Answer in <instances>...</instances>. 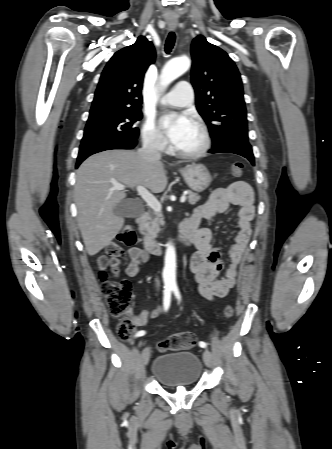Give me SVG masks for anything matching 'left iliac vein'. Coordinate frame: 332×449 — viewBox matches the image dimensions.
<instances>
[{"instance_id": "obj_1", "label": "left iliac vein", "mask_w": 332, "mask_h": 449, "mask_svg": "<svg viewBox=\"0 0 332 449\" xmlns=\"http://www.w3.org/2000/svg\"><path fill=\"white\" fill-rule=\"evenodd\" d=\"M203 359L208 367H212L214 365V358L211 351L206 349L203 353Z\"/></svg>"}]
</instances>
